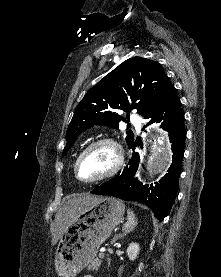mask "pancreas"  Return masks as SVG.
Instances as JSON below:
<instances>
[{"instance_id":"obj_1","label":"pancreas","mask_w":221,"mask_h":277,"mask_svg":"<svg viewBox=\"0 0 221 277\" xmlns=\"http://www.w3.org/2000/svg\"><path fill=\"white\" fill-rule=\"evenodd\" d=\"M101 258L99 256V258L94 259L87 267L88 270H98V268L100 267L101 264Z\"/></svg>"}]
</instances>
